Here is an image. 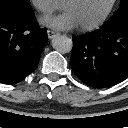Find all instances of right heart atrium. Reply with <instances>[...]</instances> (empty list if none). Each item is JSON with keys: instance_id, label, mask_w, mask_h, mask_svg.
I'll return each mask as SVG.
<instances>
[{"instance_id": "1", "label": "right heart atrium", "mask_w": 128, "mask_h": 128, "mask_svg": "<svg viewBox=\"0 0 128 128\" xmlns=\"http://www.w3.org/2000/svg\"><path fill=\"white\" fill-rule=\"evenodd\" d=\"M31 5L40 13L48 14L58 5V0H29Z\"/></svg>"}]
</instances>
